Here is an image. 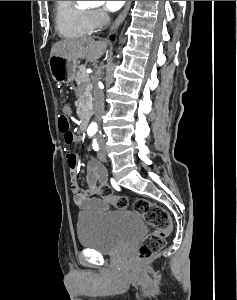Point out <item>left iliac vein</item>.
<instances>
[{"mask_svg": "<svg viewBox=\"0 0 237 300\" xmlns=\"http://www.w3.org/2000/svg\"><path fill=\"white\" fill-rule=\"evenodd\" d=\"M98 158L102 162H106L107 161V157H106V153H105V149L104 148H102V150L100 152H98Z\"/></svg>", "mask_w": 237, "mask_h": 300, "instance_id": "left-iliac-vein-1", "label": "left iliac vein"}]
</instances>
